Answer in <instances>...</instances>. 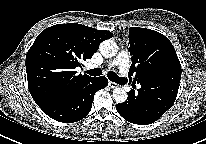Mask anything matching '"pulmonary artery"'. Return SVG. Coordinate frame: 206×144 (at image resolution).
<instances>
[{
    "mask_svg": "<svg viewBox=\"0 0 206 144\" xmlns=\"http://www.w3.org/2000/svg\"><path fill=\"white\" fill-rule=\"evenodd\" d=\"M130 65V57L128 52L126 51H121L117 57L111 62L109 63V67H113V66H118L119 70L122 74L127 73L128 68Z\"/></svg>",
    "mask_w": 206,
    "mask_h": 144,
    "instance_id": "e3ab8cb5",
    "label": "pulmonary artery"
}]
</instances>
